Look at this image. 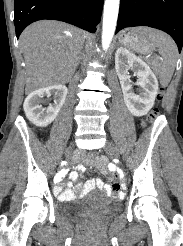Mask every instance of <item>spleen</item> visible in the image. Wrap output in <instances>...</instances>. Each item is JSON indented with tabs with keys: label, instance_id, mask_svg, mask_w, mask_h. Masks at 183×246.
Returning <instances> with one entry per match:
<instances>
[{
	"label": "spleen",
	"instance_id": "spleen-1",
	"mask_svg": "<svg viewBox=\"0 0 183 246\" xmlns=\"http://www.w3.org/2000/svg\"><path fill=\"white\" fill-rule=\"evenodd\" d=\"M146 29L145 35L147 39L152 46L158 48L159 53L163 57L159 79L163 86H167L172 78L177 61V46L166 33L155 29Z\"/></svg>",
	"mask_w": 183,
	"mask_h": 246
}]
</instances>
